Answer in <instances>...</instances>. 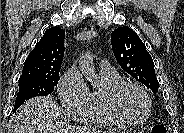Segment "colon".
<instances>
[{"mask_svg":"<svg viewBox=\"0 0 184 133\" xmlns=\"http://www.w3.org/2000/svg\"><path fill=\"white\" fill-rule=\"evenodd\" d=\"M166 128L165 126L161 125V124H158V125H155L152 129V133H166Z\"/></svg>","mask_w":184,"mask_h":133,"instance_id":"1","label":"colon"}]
</instances>
